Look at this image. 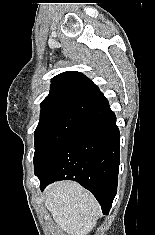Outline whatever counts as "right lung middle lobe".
I'll list each match as a JSON object with an SVG mask.
<instances>
[{
	"label": "right lung middle lobe",
	"instance_id": "dd1d6c3e",
	"mask_svg": "<svg viewBox=\"0 0 155 235\" xmlns=\"http://www.w3.org/2000/svg\"><path fill=\"white\" fill-rule=\"evenodd\" d=\"M90 125L91 123L68 114L41 112L34 133V171L45 169L65 145Z\"/></svg>",
	"mask_w": 155,
	"mask_h": 235
}]
</instances>
